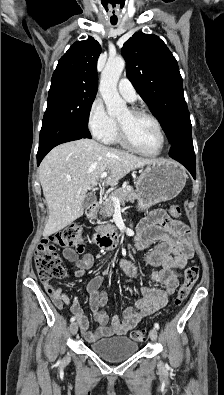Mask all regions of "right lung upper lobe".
I'll return each instance as SVG.
<instances>
[{
  "instance_id": "1",
  "label": "right lung upper lobe",
  "mask_w": 224,
  "mask_h": 395,
  "mask_svg": "<svg viewBox=\"0 0 224 395\" xmlns=\"http://www.w3.org/2000/svg\"><path fill=\"white\" fill-rule=\"evenodd\" d=\"M101 53L93 38L75 42L61 57L52 80H62L97 89V59Z\"/></svg>"
}]
</instances>
